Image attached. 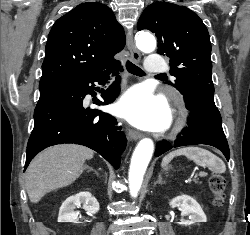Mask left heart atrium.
<instances>
[{"instance_id":"1","label":"left heart atrium","mask_w":250,"mask_h":235,"mask_svg":"<svg viewBox=\"0 0 250 235\" xmlns=\"http://www.w3.org/2000/svg\"><path fill=\"white\" fill-rule=\"evenodd\" d=\"M118 111L132 124L145 130L160 131L170 123L171 114L166 101L143 87L129 90Z\"/></svg>"}]
</instances>
